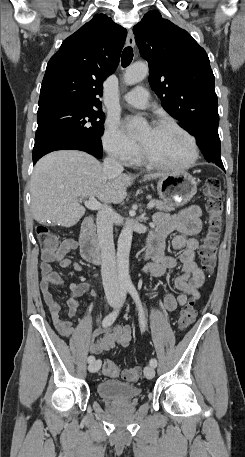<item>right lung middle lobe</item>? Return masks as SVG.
<instances>
[{"label": "right lung middle lobe", "mask_w": 245, "mask_h": 457, "mask_svg": "<svg viewBox=\"0 0 245 457\" xmlns=\"http://www.w3.org/2000/svg\"><path fill=\"white\" fill-rule=\"evenodd\" d=\"M87 103L61 104L38 112L35 144L45 140L64 138L82 143L95 157H102L101 134L105 115Z\"/></svg>", "instance_id": "obj_1"}]
</instances>
